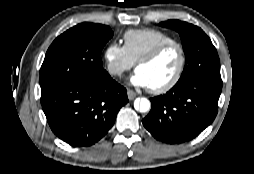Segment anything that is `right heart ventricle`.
<instances>
[{
	"label": "right heart ventricle",
	"instance_id": "right-heart-ventricle-1",
	"mask_svg": "<svg viewBox=\"0 0 254 174\" xmlns=\"http://www.w3.org/2000/svg\"><path fill=\"white\" fill-rule=\"evenodd\" d=\"M123 40L129 57L135 63L158 45L173 41L174 38L167 32L144 28L128 30L124 33Z\"/></svg>",
	"mask_w": 254,
	"mask_h": 174
}]
</instances>
